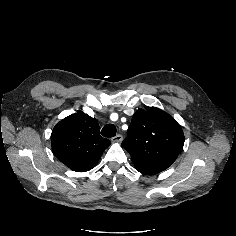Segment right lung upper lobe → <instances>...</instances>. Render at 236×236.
<instances>
[{
	"mask_svg": "<svg viewBox=\"0 0 236 236\" xmlns=\"http://www.w3.org/2000/svg\"><path fill=\"white\" fill-rule=\"evenodd\" d=\"M109 145L99 134L98 122L82 111L57 123L51 135L54 155L76 172L92 169Z\"/></svg>",
	"mask_w": 236,
	"mask_h": 236,
	"instance_id": "right-lung-upper-lobe-1",
	"label": "right lung upper lobe"
}]
</instances>
